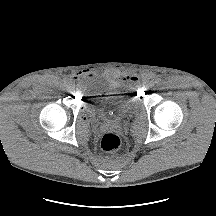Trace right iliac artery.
I'll return each mask as SVG.
<instances>
[{"label": "right iliac artery", "mask_w": 216, "mask_h": 216, "mask_svg": "<svg viewBox=\"0 0 216 216\" xmlns=\"http://www.w3.org/2000/svg\"><path fill=\"white\" fill-rule=\"evenodd\" d=\"M73 86H74V83L73 82H70L68 87L66 88L68 91L69 90H73Z\"/></svg>", "instance_id": "1"}]
</instances>
